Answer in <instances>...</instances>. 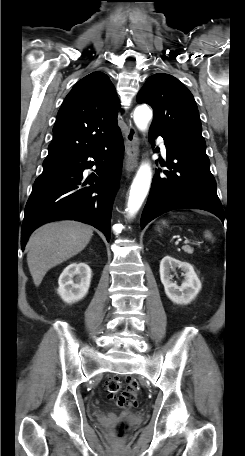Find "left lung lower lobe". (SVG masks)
I'll list each match as a JSON object with an SVG mask.
<instances>
[{
	"mask_svg": "<svg viewBox=\"0 0 245 456\" xmlns=\"http://www.w3.org/2000/svg\"><path fill=\"white\" fill-rule=\"evenodd\" d=\"M162 136L169 170L155 172L150 194L141 217V228L159 215L175 209H202L224 220L222 204L217 196L216 182L210 172L205 152L194 149L175 137L150 131L149 140Z\"/></svg>",
	"mask_w": 245,
	"mask_h": 456,
	"instance_id": "1",
	"label": "left lung lower lobe"
}]
</instances>
